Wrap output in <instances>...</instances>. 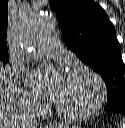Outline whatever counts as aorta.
Segmentation results:
<instances>
[{
  "label": "aorta",
  "mask_w": 125,
  "mask_h": 128,
  "mask_svg": "<svg viewBox=\"0 0 125 128\" xmlns=\"http://www.w3.org/2000/svg\"><path fill=\"white\" fill-rule=\"evenodd\" d=\"M55 26L52 14L30 16L22 22L20 43L24 48H30L42 42Z\"/></svg>",
  "instance_id": "762f6f07"
}]
</instances>
